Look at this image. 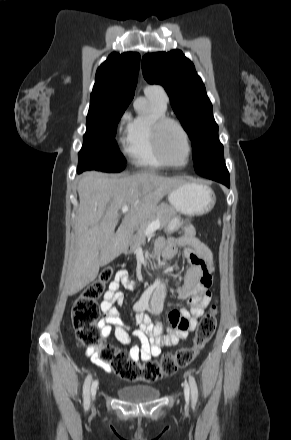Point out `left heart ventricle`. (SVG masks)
I'll use <instances>...</instances> for the list:
<instances>
[{"label":"left heart ventricle","instance_id":"1","mask_svg":"<svg viewBox=\"0 0 291 440\" xmlns=\"http://www.w3.org/2000/svg\"><path fill=\"white\" fill-rule=\"evenodd\" d=\"M162 149L165 157L174 164H182L186 160V143L182 133L174 125L165 127L162 133Z\"/></svg>","mask_w":291,"mask_h":440}]
</instances>
